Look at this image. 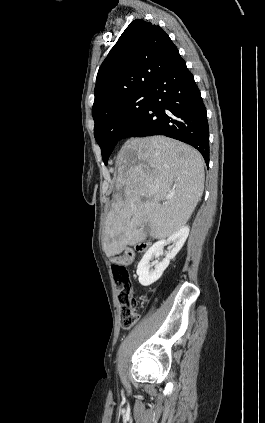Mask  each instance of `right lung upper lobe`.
<instances>
[{
    "instance_id": "1",
    "label": "right lung upper lobe",
    "mask_w": 265,
    "mask_h": 423,
    "mask_svg": "<svg viewBox=\"0 0 265 423\" xmlns=\"http://www.w3.org/2000/svg\"><path fill=\"white\" fill-rule=\"evenodd\" d=\"M178 53L160 26L134 20L99 68L92 108L94 120L122 99L150 90Z\"/></svg>"
}]
</instances>
